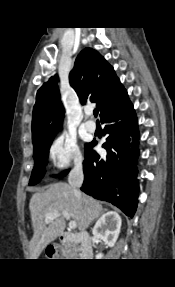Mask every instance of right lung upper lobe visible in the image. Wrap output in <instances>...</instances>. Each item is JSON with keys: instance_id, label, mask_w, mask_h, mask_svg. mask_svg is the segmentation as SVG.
Listing matches in <instances>:
<instances>
[{"instance_id": "cb5924a9", "label": "right lung upper lobe", "mask_w": 175, "mask_h": 287, "mask_svg": "<svg viewBox=\"0 0 175 287\" xmlns=\"http://www.w3.org/2000/svg\"><path fill=\"white\" fill-rule=\"evenodd\" d=\"M57 81V77H51L37 92L32 119L33 143L56 134L61 128L64 109ZM69 82L82 104L97 103L100 117L128 100L113 67L91 48H85L77 56Z\"/></svg>"}]
</instances>
